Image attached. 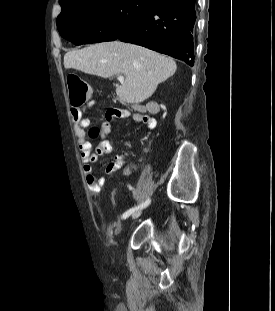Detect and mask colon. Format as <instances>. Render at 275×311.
<instances>
[{"label":"colon","mask_w":275,"mask_h":311,"mask_svg":"<svg viewBox=\"0 0 275 311\" xmlns=\"http://www.w3.org/2000/svg\"><path fill=\"white\" fill-rule=\"evenodd\" d=\"M68 86L70 89V101L73 108H79L84 105L88 100L90 103L94 102L91 97L90 87L83 82L78 76L70 75L68 77ZM106 118L115 122V114L113 110H109L106 113Z\"/></svg>","instance_id":"5ec220e1"}]
</instances>
